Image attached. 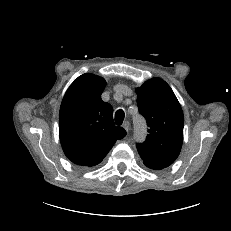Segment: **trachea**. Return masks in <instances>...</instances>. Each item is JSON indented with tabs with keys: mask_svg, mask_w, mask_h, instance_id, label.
Wrapping results in <instances>:
<instances>
[{
	"mask_svg": "<svg viewBox=\"0 0 231 231\" xmlns=\"http://www.w3.org/2000/svg\"><path fill=\"white\" fill-rule=\"evenodd\" d=\"M124 117H125L124 111L121 109L117 110L115 113L116 124L121 125L123 123Z\"/></svg>",
	"mask_w": 231,
	"mask_h": 231,
	"instance_id": "1",
	"label": "trachea"
}]
</instances>
